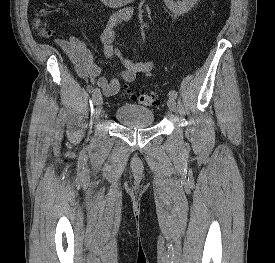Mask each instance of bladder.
Here are the masks:
<instances>
[{"label":"bladder","mask_w":275,"mask_h":263,"mask_svg":"<svg viewBox=\"0 0 275 263\" xmlns=\"http://www.w3.org/2000/svg\"><path fill=\"white\" fill-rule=\"evenodd\" d=\"M114 116L119 124L132 128L148 127L154 121V113L151 109L133 104L119 106Z\"/></svg>","instance_id":"1"}]
</instances>
